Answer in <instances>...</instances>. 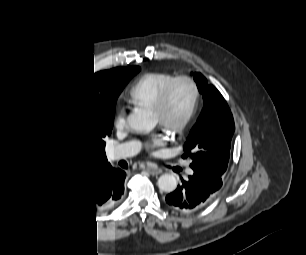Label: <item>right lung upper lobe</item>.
Returning a JSON list of instances; mask_svg holds the SVG:
<instances>
[{"instance_id":"1","label":"right lung upper lobe","mask_w":306,"mask_h":255,"mask_svg":"<svg viewBox=\"0 0 306 255\" xmlns=\"http://www.w3.org/2000/svg\"><path fill=\"white\" fill-rule=\"evenodd\" d=\"M139 67H118L111 70L97 72L88 78L72 85L62 96L58 112L55 120V156L58 159L61 155V147L59 145V136L61 134L64 117L72 108H96L99 105H108L110 109H115L117 97L123 89L126 80L124 74L126 71ZM140 69V68H139ZM109 165L107 158L101 166ZM60 170V169H59ZM65 177L68 185L70 181Z\"/></svg>"}]
</instances>
